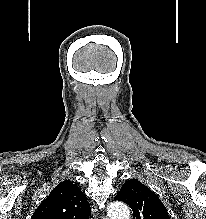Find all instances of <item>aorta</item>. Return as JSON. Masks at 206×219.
<instances>
[{
  "label": "aorta",
  "mask_w": 206,
  "mask_h": 219,
  "mask_svg": "<svg viewBox=\"0 0 206 219\" xmlns=\"http://www.w3.org/2000/svg\"><path fill=\"white\" fill-rule=\"evenodd\" d=\"M110 219H130V210L125 203L113 202L108 208Z\"/></svg>",
  "instance_id": "obj_1"
}]
</instances>
